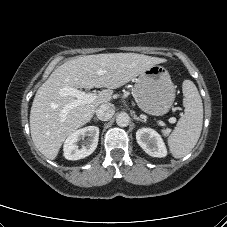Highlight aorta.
<instances>
[{
    "mask_svg": "<svg viewBox=\"0 0 227 227\" xmlns=\"http://www.w3.org/2000/svg\"><path fill=\"white\" fill-rule=\"evenodd\" d=\"M129 122H130V117L126 112H121L116 117V123L120 127L128 126Z\"/></svg>",
    "mask_w": 227,
    "mask_h": 227,
    "instance_id": "aorta-1",
    "label": "aorta"
}]
</instances>
